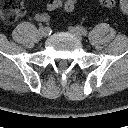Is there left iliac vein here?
Instances as JSON below:
<instances>
[{
  "mask_svg": "<svg viewBox=\"0 0 128 128\" xmlns=\"http://www.w3.org/2000/svg\"><path fill=\"white\" fill-rule=\"evenodd\" d=\"M69 32L73 34L75 37H77L79 40L82 39V34L79 32V30L75 27H69Z\"/></svg>",
  "mask_w": 128,
  "mask_h": 128,
  "instance_id": "4c4485c4",
  "label": "left iliac vein"
}]
</instances>
